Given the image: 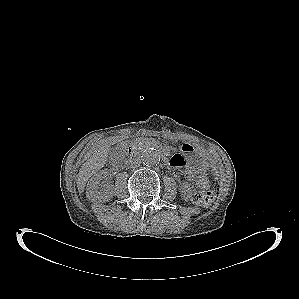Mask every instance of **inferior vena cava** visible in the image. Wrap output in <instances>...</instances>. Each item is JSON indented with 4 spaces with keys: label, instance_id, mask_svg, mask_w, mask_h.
I'll list each match as a JSON object with an SVG mask.
<instances>
[{
    "label": "inferior vena cava",
    "instance_id": "602c4592",
    "mask_svg": "<svg viewBox=\"0 0 299 299\" xmlns=\"http://www.w3.org/2000/svg\"><path fill=\"white\" fill-rule=\"evenodd\" d=\"M138 166H140V162L138 161V160H135V161H133L132 163H131V168H136V167H138Z\"/></svg>",
    "mask_w": 299,
    "mask_h": 299
}]
</instances>
